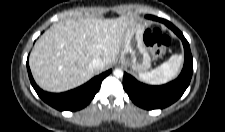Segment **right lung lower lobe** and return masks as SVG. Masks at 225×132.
<instances>
[{
  "label": "right lung lower lobe",
  "mask_w": 225,
  "mask_h": 132,
  "mask_svg": "<svg viewBox=\"0 0 225 132\" xmlns=\"http://www.w3.org/2000/svg\"><path fill=\"white\" fill-rule=\"evenodd\" d=\"M27 70L30 78V82L37 92L38 96L47 104L58 109L60 111H77L87 106L98 92L102 80L110 74L111 70H108L93 79L86 84L64 93H48L41 90L35 83L28 62Z\"/></svg>",
  "instance_id": "98d812e1"
}]
</instances>
